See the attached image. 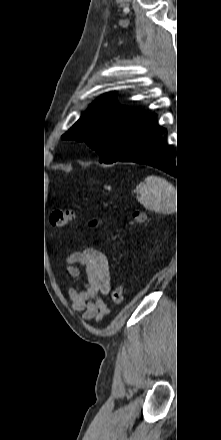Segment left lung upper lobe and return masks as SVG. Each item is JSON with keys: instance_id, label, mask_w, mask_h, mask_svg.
Here are the masks:
<instances>
[{"instance_id": "1", "label": "left lung upper lobe", "mask_w": 221, "mask_h": 440, "mask_svg": "<svg viewBox=\"0 0 221 440\" xmlns=\"http://www.w3.org/2000/svg\"><path fill=\"white\" fill-rule=\"evenodd\" d=\"M116 94L108 93L93 103L62 138L85 141L100 155V162L113 163L125 153L131 135L146 111L121 106Z\"/></svg>"}]
</instances>
